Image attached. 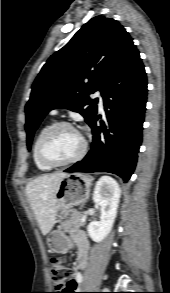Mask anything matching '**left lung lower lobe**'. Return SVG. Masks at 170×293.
Segmentation results:
<instances>
[{"label": "left lung lower lobe", "mask_w": 170, "mask_h": 293, "mask_svg": "<svg viewBox=\"0 0 170 293\" xmlns=\"http://www.w3.org/2000/svg\"><path fill=\"white\" fill-rule=\"evenodd\" d=\"M106 123L95 115L93 143L83 160L65 172H110L129 180L142 142L147 101V78L135 45L117 67L102 92Z\"/></svg>", "instance_id": "0a47b994"}]
</instances>
